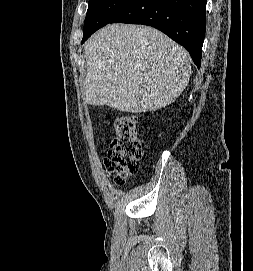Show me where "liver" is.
<instances>
[{
  "instance_id": "obj_1",
  "label": "liver",
  "mask_w": 253,
  "mask_h": 271,
  "mask_svg": "<svg viewBox=\"0 0 253 271\" xmlns=\"http://www.w3.org/2000/svg\"><path fill=\"white\" fill-rule=\"evenodd\" d=\"M85 102L119 111H156L186 88L187 51L148 26L109 24L85 44Z\"/></svg>"
}]
</instances>
